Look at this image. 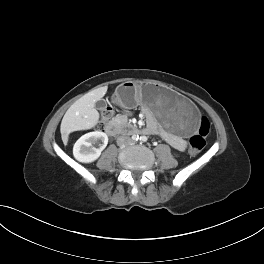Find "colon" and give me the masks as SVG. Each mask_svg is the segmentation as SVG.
Wrapping results in <instances>:
<instances>
[{
    "label": "colon",
    "instance_id": "5ec220e1",
    "mask_svg": "<svg viewBox=\"0 0 264 264\" xmlns=\"http://www.w3.org/2000/svg\"><path fill=\"white\" fill-rule=\"evenodd\" d=\"M113 112L110 107H106L101 113L102 122H107L112 118ZM210 130V122L206 117L199 121L197 132L190 139V152L199 153L206 145V137Z\"/></svg>",
    "mask_w": 264,
    "mask_h": 264
}]
</instances>
